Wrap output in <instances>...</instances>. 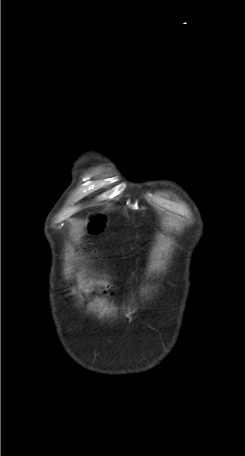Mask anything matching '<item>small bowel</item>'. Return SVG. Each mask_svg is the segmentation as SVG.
Instances as JSON below:
<instances>
[{
	"label": "small bowel",
	"mask_w": 245,
	"mask_h": 456,
	"mask_svg": "<svg viewBox=\"0 0 245 456\" xmlns=\"http://www.w3.org/2000/svg\"><path fill=\"white\" fill-rule=\"evenodd\" d=\"M105 225V219L102 215H95L88 222V232L91 235L100 233Z\"/></svg>",
	"instance_id": "small-bowel-1"
}]
</instances>
